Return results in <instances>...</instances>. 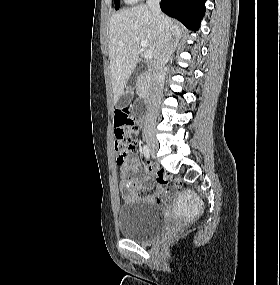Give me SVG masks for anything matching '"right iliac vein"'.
<instances>
[{
  "label": "right iliac vein",
  "mask_w": 280,
  "mask_h": 285,
  "mask_svg": "<svg viewBox=\"0 0 280 285\" xmlns=\"http://www.w3.org/2000/svg\"><path fill=\"white\" fill-rule=\"evenodd\" d=\"M145 139L147 141L149 150L151 152L152 156H155L157 150H158V143L157 140L154 137V134L151 132H148L145 134Z\"/></svg>",
  "instance_id": "63e3f726"
}]
</instances>
